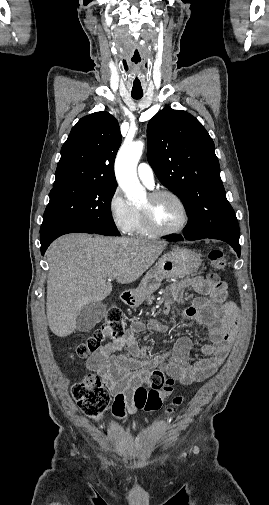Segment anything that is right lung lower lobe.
<instances>
[{"instance_id":"1","label":"right lung lower lobe","mask_w":269,"mask_h":505,"mask_svg":"<svg viewBox=\"0 0 269 505\" xmlns=\"http://www.w3.org/2000/svg\"><path fill=\"white\" fill-rule=\"evenodd\" d=\"M74 232H83V233H95L92 231L84 230L81 228H77L69 225H59L55 227H51L46 230L43 234H41V254L44 255L47 247L59 236L74 233ZM97 234V233H95Z\"/></svg>"}]
</instances>
